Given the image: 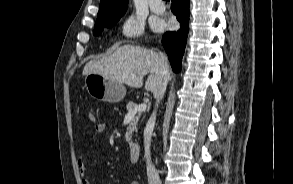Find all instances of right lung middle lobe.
<instances>
[{
    "label": "right lung middle lobe",
    "mask_w": 293,
    "mask_h": 184,
    "mask_svg": "<svg viewBox=\"0 0 293 184\" xmlns=\"http://www.w3.org/2000/svg\"><path fill=\"white\" fill-rule=\"evenodd\" d=\"M117 21L118 20H115V21H112L109 23H105V24H98V25L96 24L94 27V35L95 36L100 35L105 28H110V27L114 26L117 23Z\"/></svg>",
    "instance_id": "1"
}]
</instances>
